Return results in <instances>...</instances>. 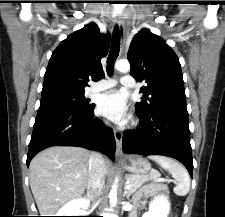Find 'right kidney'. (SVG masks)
I'll list each match as a JSON object with an SVG mask.
<instances>
[{"label":"right kidney","mask_w":225,"mask_h":217,"mask_svg":"<svg viewBox=\"0 0 225 217\" xmlns=\"http://www.w3.org/2000/svg\"><path fill=\"white\" fill-rule=\"evenodd\" d=\"M90 202L85 198L73 200L63 206L56 216H81L82 209H87Z\"/></svg>","instance_id":"ca27d5eb"}]
</instances>
